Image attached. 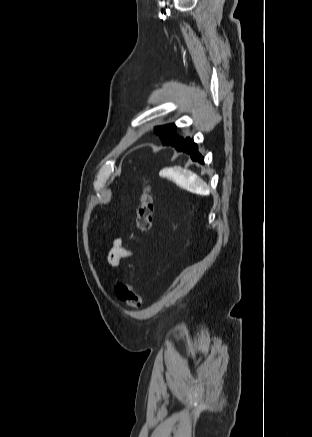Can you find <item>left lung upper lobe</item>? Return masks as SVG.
<instances>
[{"mask_svg":"<svg viewBox=\"0 0 312 437\" xmlns=\"http://www.w3.org/2000/svg\"><path fill=\"white\" fill-rule=\"evenodd\" d=\"M175 132L176 126L174 124L155 127V133L160 136L162 144L182 139V137L176 135Z\"/></svg>","mask_w":312,"mask_h":437,"instance_id":"1","label":"left lung upper lobe"}]
</instances>
